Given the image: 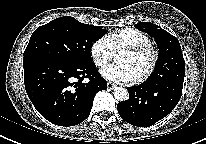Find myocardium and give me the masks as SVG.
Segmentation results:
<instances>
[{"label":"myocardium","instance_id":"obj_1","mask_svg":"<svg viewBox=\"0 0 206 144\" xmlns=\"http://www.w3.org/2000/svg\"><path fill=\"white\" fill-rule=\"evenodd\" d=\"M123 51H126L130 54H141V53H149L150 55V62L149 65L147 67V69L145 70V72L140 75L135 82L137 83H142L147 81L155 72V69L157 67L158 64V60H159V52L157 50V48L152 45L151 43H147V44H140V45H132V46H126L123 48Z\"/></svg>","mask_w":206,"mask_h":144}]
</instances>
